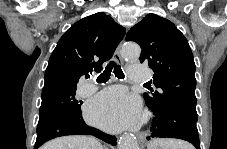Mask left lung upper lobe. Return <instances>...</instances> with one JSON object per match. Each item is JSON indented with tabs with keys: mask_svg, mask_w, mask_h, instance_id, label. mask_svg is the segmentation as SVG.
Masks as SVG:
<instances>
[{
	"mask_svg": "<svg viewBox=\"0 0 227 149\" xmlns=\"http://www.w3.org/2000/svg\"><path fill=\"white\" fill-rule=\"evenodd\" d=\"M127 41L141 46L140 62L154 71L158 91L144 93L150 106L172 104L196 110L195 63L187 39L169 20L156 14L146 15L126 35Z\"/></svg>",
	"mask_w": 227,
	"mask_h": 149,
	"instance_id": "obj_1",
	"label": "left lung upper lobe"
}]
</instances>
